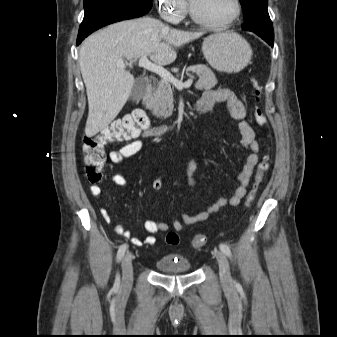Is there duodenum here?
<instances>
[{
  "label": "duodenum",
  "mask_w": 337,
  "mask_h": 337,
  "mask_svg": "<svg viewBox=\"0 0 337 337\" xmlns=\"http://www.w3.org/2000/svg\"><path fill=\"white\" fill-rule=\"evenodd\" d=\"M151 84H152V80L148 79L146 82V86L143 90L141 100H140L141 108L135 110L132 116L134 117L136 121H141L140 129L143 135L161 136V135L167 134L173 131L174 129H176L178 126V123L172 122V123L159 125V126H152L148 123L145 111L150 105ZM194 109L199 113H206L209 111L208 106H202L199 103L194 107Z\"/></svg>",
  "instance_id": "obj_1"
}]
</instances>
